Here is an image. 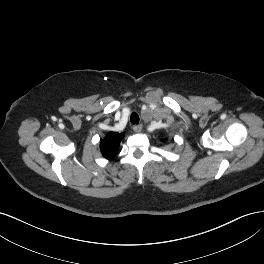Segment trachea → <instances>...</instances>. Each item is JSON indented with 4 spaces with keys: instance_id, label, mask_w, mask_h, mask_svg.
Wrapping results in <instances>:
<instances>
[{
    "instance_id": "obj_1",
    "label": "trachea",
    "mask_w": 264,
    "mask_h": 264,
    "mask_svg": "<svg viewBox=\"0 0 264 264\" xmlns=\"http://www.w3.org/2000/svg\"><path fill=\"white\" fill-rule=\"evenodd\" d=\"M130 121H131V123L134 125V124H136V125H138V123H139V116H138V114L136 113V112H133L132 114H131V116H130Z\"/></svg>"
}]
</instances>
